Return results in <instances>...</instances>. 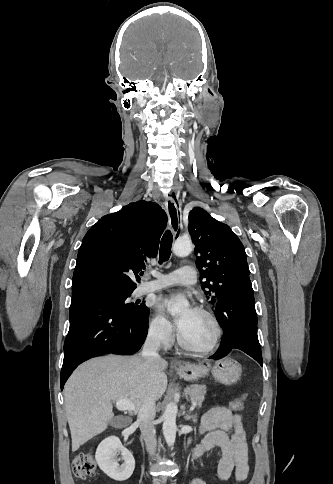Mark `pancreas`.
Wrapping results in <instances>:
<instances>
[{
    "instance_id": "obj_1",
    "label": "pancreas",
    "mask_w": 333,
    "mask_h": 484,
    "mask_svg": "<svg viewBox=\"0 0 333 484\" xmlns=\"http://www.w3.org/2000/svg\"><path fill=\"white\" fill-rule=\"evenodd\" d=\"M206 390L207 387L205 385H191L186 388L185 392L187 395H189L190 400L193 403L201 406L202 402L204 401Z\"/></svg>"
}]
</instances>
